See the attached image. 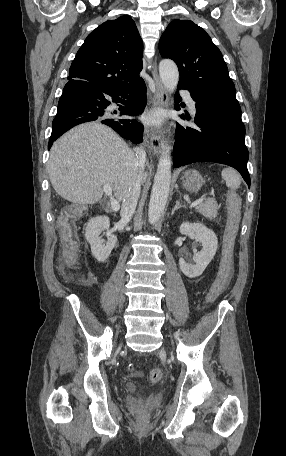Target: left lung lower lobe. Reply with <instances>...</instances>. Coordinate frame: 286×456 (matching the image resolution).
<instances>
[{"instance_id": "obj_1", "label": "left lung lower lobe", "mask_w": 286, "mask_h": 456, "mask_svg": "<svg viewBox=\"0 0 286 456\" xmlns=\"http://www.w3.org/2000/svg\"><path fill=\"white\" fill-rule=\"evenodd\" d=\"M178 89L186 87L178 86ZM189 91V90H188ZM191 97L196 102V127H183L177 124L176 141L173 148L175 167L194 162H216L229 165L240 172L250 187L247 169L248 150L245 146V126L241 120V111L221 104ZM181 97L175 95V102ZM179 110V106H175ZM182 119L190 120L188 114H181Z\"/></svg>"}]
</instances>
